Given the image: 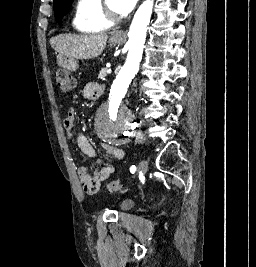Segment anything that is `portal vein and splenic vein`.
<instances>
[{"mask_svg":"<svg viewBox=\"0 0 256 267\" xmlns=\"http://www.w3.org/2000/svg\"><path fill=\"white\" fill-rule=\"evenodd\" d=\"M106 73H107V74H111V73H112L111 68H107Z\"/></svg>","mask_w":256,"mask_h":267,"instance_id":"1","label":"portal vein and splenic vein"}]
</instances>
